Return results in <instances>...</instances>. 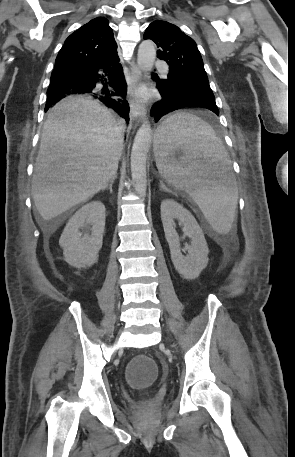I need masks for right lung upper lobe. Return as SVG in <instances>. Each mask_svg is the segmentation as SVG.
<instances>
[{
	"instance_id": "right-lung-upper-lobe-1",
	"label": "right lung upper lobe",
	"mask_w": 295,
	"mask_h": 457,
	"mask_svg": "<svg viewBox=\"0 0 295 457\" xmlns=\"http://www.w3.org/2000/svg\"><path fill=\"white\" fill-rule=\"evenodd\" d=\"M108 24L107 19L98 17L72 33L57 55L54 70L86 67L116 53L117 44Z\"/></svg>"
}]
</instances>
